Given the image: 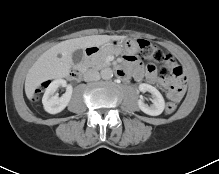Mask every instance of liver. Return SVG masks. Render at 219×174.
I'll return each mask as SVG.
<instances>
[{"mask_svg": "<svg viewBox=\"0 0 219 174\" xmlns=\"http://www.w3.org/2000/svg\"><path fill=\"white\" fill-rule=\"evenodd\" d=\"M126 36L92 35L58 43L45 51L29 69L25 80V93L29 100L45 81L67 77L73 65L72 54L78 49L100 47Z\"/></svg>", "mask_w": 219, "mask_h": 174, "instance_id": "6515ba94", "label": "liver"}]
</instances>
